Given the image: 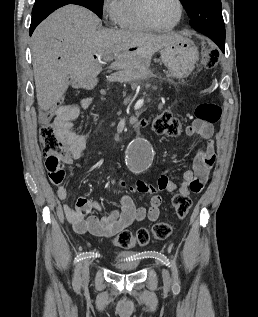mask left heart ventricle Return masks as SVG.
<instances>
[{"label": "left heart ventricle", "instance_id": "obj_1", "mask_svg": "<svg viewBox=\"0 0 258 317\" xmlns=\"http://www.w3.org/2000/svg\"><path fill=\"white\" fill-rule=\"evenodd\" d=\"M178 5L175 0H155L149 10L152 23L159 27H169L178 18Z\"/></svg>", "mask_w": 258, "mask_h": 317}]
</instances>
